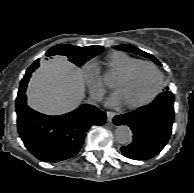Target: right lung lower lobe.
<instances>
[{"label":"right lung lower lobe","mask_w":194,"mask_h":193,"mask_svg":"<svg viewBox=\"0 0 194 193\" xmlns=\"http://www.w3.org/2000/svg\"><path fill=\"white\" fill-rule=\"evenodd\" d=\"M26 86L16 99L17 127L27 149L39 160L58 162L75 156L91 125H103L106 113L93 105L83 104L59 116H48L26 104Z\"/></svg>","instance_id":"obj_1"}]
</instances>
